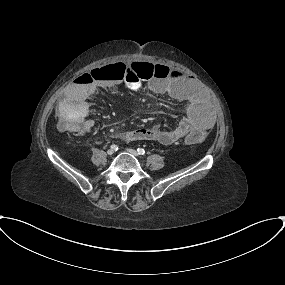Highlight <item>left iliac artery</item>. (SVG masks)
I'll return each mask as SVG.
<instances>
[{
	"mask_svg": "<svg viewBox=\"0 0 285 285\" xmlns=\"http://www.w3.org/2000/svg\"><path fill=\"white\" fill-rule=\"evenodd\" d=\"M137 152L140 155H144L145 154V150L143 148H137Z\"/></svg>",
	"mask_w": 285,
	"mask_h": 285,
	"instance_id": "44dca946",
	"label": "left iliac artery"
}]
</instances>
